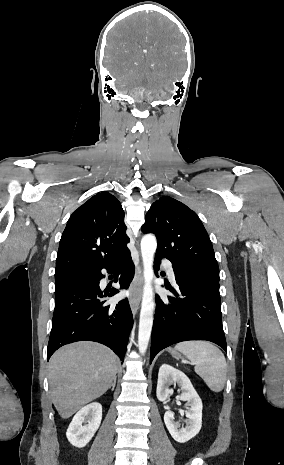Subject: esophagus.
Wrapping results in <instances>:
<instances>
[{
    "label": "esophagus",
    "mask_w": 284,
    "mask_h": 465,
    "mask_svg": "<svg viewBox=\"0 0 284 465\" xmlns=\"http://www.w3.org/2000/svg\"><path fill=\"white\" fill-rule=\"evenodd\" d=\"M143 286V271L141 264L136 267L135 275L130 285L129 304L133 313L136 315L141 300Z\"/></svg>",
    "instance_id": "esophagus-1"
}]
</instances>
